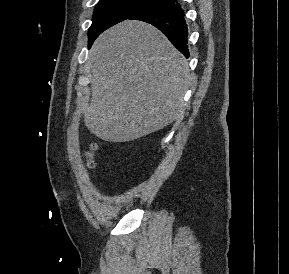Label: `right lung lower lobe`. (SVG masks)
<instances>
[{"mask_svg":"<svg viewBox=\"0 0 289 274\" xmlns=\"http://www.w3.org/2000/svg\"><path fill=\"white\" fill-rule=\"evenodd\" d=\"M129 19L151 23L161 30L185 57H189L188 29L184 20V11L178 5L177 0H164Z\"/></svg>","mask_w":289,"mask_h":274,"instance_id":"98d812e1","label":"right lung lower lobe"}]
</instances>
